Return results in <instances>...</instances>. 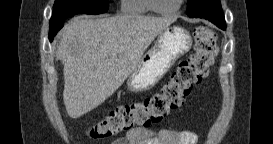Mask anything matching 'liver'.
<instances>
[{
  "label": "liver",
  "instance_id": "1",
  "mask_svg": "<svg viewBox=\"0 0 273 144\" xmlns=\"http://www.w3.org/2000/svg\"><path fill=\"white\" fill-rule=\"evenodd\" d=\"M173 18L121 15L74 17L60 32L56 60L64 69L63 101L79 118L110 97Z\"/></svg>",
  "mask_w": 273,
  "mask_h": 144
}]
</instances>
